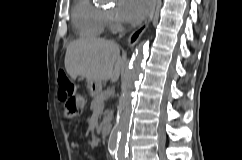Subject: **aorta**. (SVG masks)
Segmentation results:
<instances>
[{
  "label": "aorta",
  "mask_w": 242,
  "mask_h": 160,
  "mask_svg": "<svg viewBox=\"0 0 242 160\" xmlns=\"http://www.w3.org/2000/svg\"><path fill=\"white\" fill-rule=\"evenodd\" d=\"M147 54V46H140L132 58L130 69L122 82L120 98V113L117 122L111 130L108 149L115 153L116 160H126L128 156V140L132 118L133 91L142 73V67Z\"/></svg>",
  "instance_id": "762f6f07"
}]
</instances>
